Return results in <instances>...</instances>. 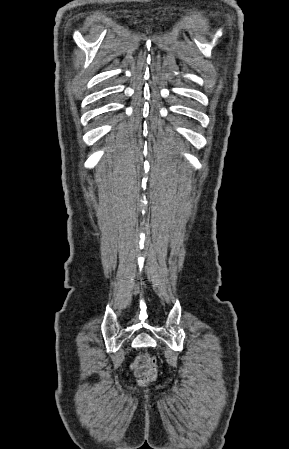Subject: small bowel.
Wrapping results in <instances>:
<instances>
[{"instance_id": "small-bowel-1", "label": "small bowel", "mask_w": 289, "mask_h": 449, "mask_svg": "<svg viewBox=\"0 0 289 449\" xmlns=\"http://www.w3.org/2000/svg\"><path fill=\"white\" fill-rule=\"evenodd\" d=\"M130 368L136 376L141 377L148 370L147 355H137Z\"/></svg>"}]
</instances>
